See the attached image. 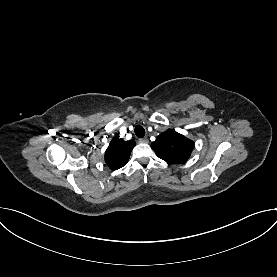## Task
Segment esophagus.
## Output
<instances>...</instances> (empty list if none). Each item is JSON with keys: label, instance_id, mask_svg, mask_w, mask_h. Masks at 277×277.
I'll use <instances>...</instances> for the list:
<instances>
[{"label": "esophagus", "instance_id": "34e87169", "mask_svg": "<svg viewBox=\"0 0 277 277\" xmlns=\"http://www.w3.org/2000/svg\"><path fill=\"white\" fill-rule=\"evenodd\" d=\"M139 142L143 143V144H147L149 142V140H148V138L144 137V138H140Z\"/></svg>", "mask_w": 277, "mask_h": 277}]
</instances>
